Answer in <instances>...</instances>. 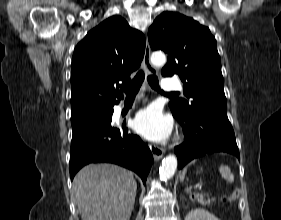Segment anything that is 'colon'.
<instances>
[{
  "mask_svg": "<svg viewBox=\"0 0 281 220\" xmlns=\"http://www.w3.org/2000/svg\"><path fill=\"white\" fill-rule=\"evenodd\" d=\"M238 196H239V191L235 190L228 197H226L225 200L233 201L237 199ZM193 197L203 204H208L212 200L211 196L208 194H194Z\"/></svg>",
  "mask_w": 281,
  "mask_h": 220,
  "instance_id": "5ec220e1",
  "label": "colon"
}]
</instances>
